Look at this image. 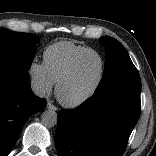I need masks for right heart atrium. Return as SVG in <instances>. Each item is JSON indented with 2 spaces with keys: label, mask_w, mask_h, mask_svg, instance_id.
I'll list each match as a JSON object with an SVG mask.
<instances>
[{
  "label": "right heart atrium",
  "mask_w": 156,
  "mask_h": 156,
  "mask_svg": "<svg viewBox=\"0 0 156 156\" xmlns=\"http://www.w3.org/2000/svg\"><path fill=\"white\" fill-rule=\"evenodd\" d=\"M28 73L35 92L39 95H46L53 89L54 82L50 78L44 63L32 61Z\"/></svg>",
  "instance_id": "d8ad5b80"
}]
</instances>
